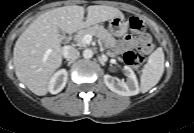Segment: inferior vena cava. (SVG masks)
Masks as SVG:
<instances>
[{"label": "inferior vena cava", "instance_id": "602c4592", "mask_svg": "<svg viewBox=\"0 0 194 133\" xmlns=\"http://www.w3.org/2000/svg\"><path fill=\"white\" fill-rule=\"evenodd\" d=\"M63 55L67 59L76 60L79 58L80 52L72 46H66L64 48Z\"/></svg>", "mask_w": 194, "mask_h": 133}]
</instances>
